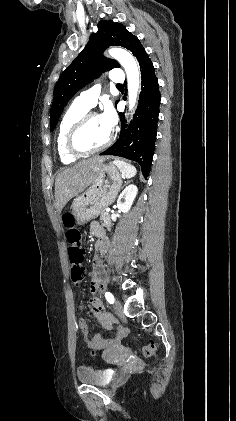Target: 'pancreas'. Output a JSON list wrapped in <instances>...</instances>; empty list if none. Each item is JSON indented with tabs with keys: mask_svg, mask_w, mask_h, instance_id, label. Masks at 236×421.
I'll return each mask as SVG.
<instances>
[{
	"mask_svg": "<svg viewBox=\"0 0 236 421\" xmlns=\"http://www.w3.org/2000/svg\"><path fill=\"white\" fill-rule=\"evenodd\" d=\"M100 215H101L100 221H101L103 227H106V229H108V231H111L112 223L110 221L109 213H105V211H102V213H100Z\"/></svg>",
	"mask_w": 236,
	"mask_h": 421,
	"instance_id": "pancreas-1",
	"label": "pancreas"
}]
</instances>
